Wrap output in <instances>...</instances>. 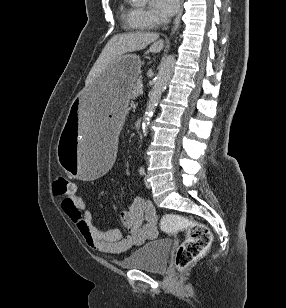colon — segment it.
<instances>
[{"mask_svg": "<svg viewBox=\"0 0 286 308\" xmlns=\"http://www.w3.org/2000/svg\"><path fill=\"white\" fill-rule=\"evenodd\" d=\"M74 183L66 177H58L53 182V193L57 196H68L74 193ZM161 228L166 232L186 231L187 237L179 246L175 265L178 270L186 269L201 257L212 241L209 229L201 223L176 214H165Z\"/></svg>", "mask_w": 286, "mask_h": 308, "instance_id": "obj_1", "label": "colon"}]
</instances>
